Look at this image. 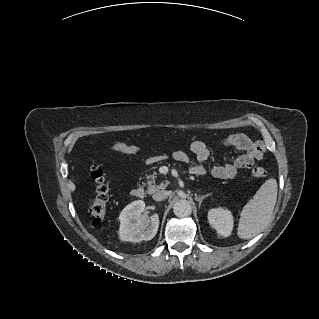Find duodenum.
Instances as JSON below:
<instances>
[{
  "mask_svg": "<svg viewBox=\"0 0 319 319\" xmlns=\"http://www.w3.org/2000/svg\"><path fill=\"white\" fill-rule=\"evenodd\" d=\"M131 195L136 199H143L145 197V190L142 187H136L131 191Z\"/></svg>",
  "mask_w": 319,
  "mask_h": 319,
  "instance_id": "410a0bca",
  "label": "duodenum"
}]
</instances>
